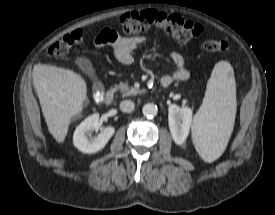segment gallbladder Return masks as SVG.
I'll list each match as a JSON object with an SVG mask.
<instances>
[{
  "mask_svg": "<svg viewBox=\"0 0 275 215\" xmlns=\"http://www.w3.org/2000/svg\"><path fill=\"white\" fill-rule=\"evenodd\" d=\"M75 63L78 68L93 81L95 88L100 85L95 68L89 58L86 56H78L75 59Z\"/></svg>",
  "mask_w": 275,
  "mask_h": 215,
  "instance_id": "bac80fb5",
  "label": "gallbladder"
}]
</instances>
